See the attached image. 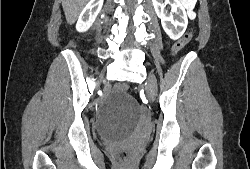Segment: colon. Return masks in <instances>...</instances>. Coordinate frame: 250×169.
I'll list each match as a JSON object with an SVG mask.
<instances>
[{"label": "colon", "instance_id": "obj_1", "mask_svg": "<svg viewBox=\"0 0 250 169\" xmlns=\"http://www.w3.org/2000/svg\"><path fill=\"white\" fill-rule=\"evenodd\" d=\"M192 35L189 33L184 34L180 39L172 44V49H170V54L176 55L186 44H189L190 37ZM121 90H129V85H121ZM117 160H122L123 166H130L131 162L129 161L128 150H117Z\"/></svg>", "mask_w": 250, "mask_h": 169}]
</instances>
